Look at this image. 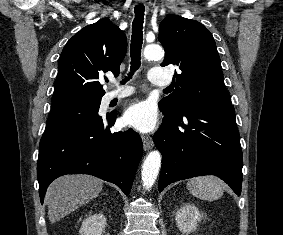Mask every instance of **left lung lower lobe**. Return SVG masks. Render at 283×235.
<instances>
[{"instance_id":"obj_1","label":"left lung lower lobe","mask_w":283,"mask_h":235,"mask_svg":"<svg viewBox=\"0 0 283 235\" xmlns=\"http://www.w3.org/2000/svg\"><path fill=\"white\" fill-rule=\"evenodd\" d=\"M163 114L154 135L162 153L159 192L178 180L216 175L239 196L243 160L234 107H194L175 116Z\"/></svg>"}]
</instances>
